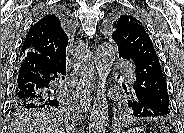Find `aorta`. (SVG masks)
I'll return each mask as SVG.
<instances>
[{"label":"aorta","instance_id":"obj_1","mask_svg":"<svg viewBox=\"0 0 184 133\" xmlns=\"http://www.w3.org/2000/svg\"><path fill=\"white\" fill-rule=\"evenodd\" d=\"M115 48L108 44L98 45L95 52V66L98 75L97 97L94 100L89 122V133H105L108 123L107 78L115 61Z\"/></svg>","mask_w":184,"mask_h":133}]
</instances>
